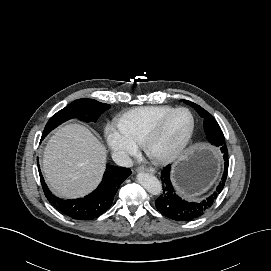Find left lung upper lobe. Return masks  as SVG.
<instances>
[{
  "label": "left lung upper lobe",
  "instance_id": "5c2ea615",
  "mask_svg": "<svg viewBox=\"0 0 271 271\" xmlns=\"http://www.w3.org/2000/svg\"><path fill=\"white\" fill-rule=\"evenodd\" d=\"M183 101L193 107L199 113V115L204 118V130L209 142L217 147L225 145L223 132L212 115L193 102L187 100Z\"/></svg>",
  "mask_w": 271,
  "mask_h": 271
}]
</instances>
